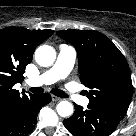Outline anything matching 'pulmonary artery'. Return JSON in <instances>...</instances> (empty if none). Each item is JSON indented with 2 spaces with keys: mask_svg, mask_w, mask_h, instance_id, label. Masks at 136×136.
<instances>
[{
  "mask_svg": "<svg viewBox=\"0 0 136 136\" xmlns=\"http://www.w3.org/2000/svg\"><path fill=\"white\" fill-rule=\"evenodd\" d=\"M76 59V51L74 48L61 45L59 53L54 65L41 74L39 77L29 80L27 83L30 86H41L44 84H52L58 80L64 79L73 68ZM69 97L78 104L88 105L89 99L79 94L69 93Z\"/></svg>",
  "mask_w": 136,
  "mask_h": 136,
  "instance_id": "1",
  "label": "pulmonary artery"
}]
</instances>
